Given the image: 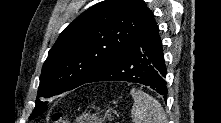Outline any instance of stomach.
<instances>
[{"label":"stomach","instance_id":"1","mask_svg":"<svg viewBox=\"0 0 221 123\" xmlns=\"http://www.w3.org/2000/svg\"><path fill=\"white\" fill-rule=\"evenodd\" d=\"M115 114H117L116 111L108 110L103 117L97 115H83L77 120V123H103L105 119L112 121Z\"/></svg>","mask_w":221,"mask_h":123}]
</instances>
